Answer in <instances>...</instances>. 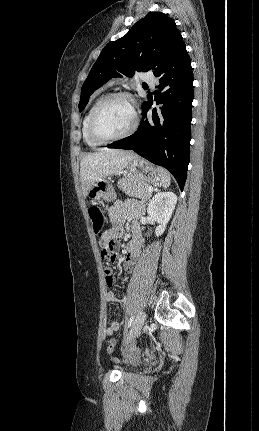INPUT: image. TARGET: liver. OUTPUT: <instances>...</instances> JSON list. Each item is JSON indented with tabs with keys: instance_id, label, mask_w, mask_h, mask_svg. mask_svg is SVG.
<instances>
[{
	"instance_id": "obj_1",
	"label": "liver",
	"mask_w": 259,
	"mask_h": 431,
	"mask_svg": "<svg viewBox=\"0 0 259 431\" xmlns=\"http://www.w3.org/2000/svg\"><path fill=\"white\" fill-rule=\"evenodd\" d=\"M132 151L103 148L84 156L80 163V179L83 195L98 181L119 174L127 163L137 158Z\"/></svg>"
}]
</instances>
